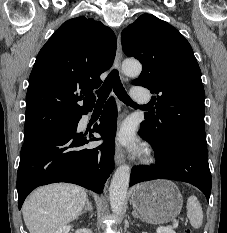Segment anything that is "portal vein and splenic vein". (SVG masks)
Here are the masks:
<instances>
[{
    "instance_id": "obj_1",
    "label": "portal vein and splenic vein",
    "mask_w": 227,
    "mask_h": 233,
    "mask_svg": "<svg viewBox=\"0 0 227 233\" xmlns=\"http://www.w3.org/2000/svg\"><path fill=\"white\" fill-rule=\"evenodd\" d=\"M173 228H177L178 227V220H174L173 224H172Z\"/></svg>"
}]
</instances>
